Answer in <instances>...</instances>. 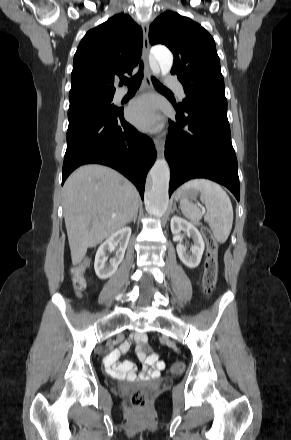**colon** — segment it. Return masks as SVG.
<instances>
[{
    "instance_id": "obj_1",
    "label": "colon",
    "mask_w": 291,
    "mask_h": 440,
    "mask_svg": "<svg viewBox=\"0 0 291 440\" xmlns=\"http://www.w3.org/2000/svg\"><path fill=\"white\" fill-rule=\"evenodd\" d=\"M204 239L206 243V265L203 276L204 292L211 294L216 286L218 275V243L213 238L209 230L203 229ZM89 260L82 259L74 274V286L77 290H82L85 287V282L82 277V272L88 267ZM140 355H147L152 359H158V355L153 353L147 344H142L140 347ZM130 402L135 408L145 407L148 403V391L144 388H136L130 395Z\"/></svg>"
}]
</instances>
